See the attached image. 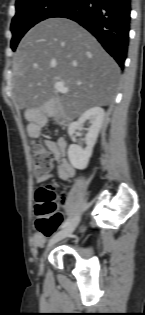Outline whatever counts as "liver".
<instances>
[{"mask_svg":"<svg viewBox=\"0 0 145 315\" xmlns=\"http://www.w3.org/2000/svg\"><path fill=\"white\" fill-rule=\"evenodd\" d=\"M120 69L83 27L65 18L46 19L23 37L13 59L12 99L33 120L43 108L70 122L114 97ZM68 92L55 97V82Z\"/></svg>","mask_w":145,"mask_h":315,"instance_id":"6515ba94","label":"liver"}]
</instances>
